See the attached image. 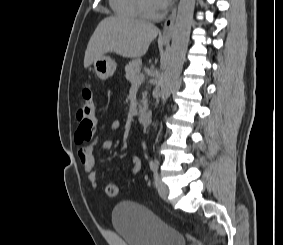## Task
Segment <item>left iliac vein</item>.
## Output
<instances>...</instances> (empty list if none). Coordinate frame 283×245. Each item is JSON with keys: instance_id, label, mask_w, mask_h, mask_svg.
I'll return each mask as SVG.
<instances>
[{"instance_id": "4c4485c4", "label": "left iliac vein", "mask_w": 283, "mask_h": 245, "mask_svg": "<svg viewBox=\"0 0 283 245\" xmlns=\"http://www.w3.org/2000/svg\"><path fill=\"white\" fill-rule=\"evenodd\" d=\"M154 184H155V187H156L159 195L163 199L166 200L168 193H169V190H168V187L166 186V184L162 182L158 173H155V175H154Z\"/></svg>"}]
</instances>
